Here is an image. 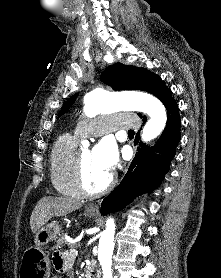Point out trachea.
<instances>
[{
  "label": "trachea",
  "instance_id": "obj_1",
  "mask_svg": "<svg viewBox=\"0 0 221 278\" xmlns=\"http://www.w3.org/2000/svg\"><path fill=\"white\" fill-rule=\"evenodd\" d=\"M128 133L129 134H134V131L133 130H129Z\"/></svg>",
  "mask_w": 221,
  "mask_h": 278
}]
</instances>
